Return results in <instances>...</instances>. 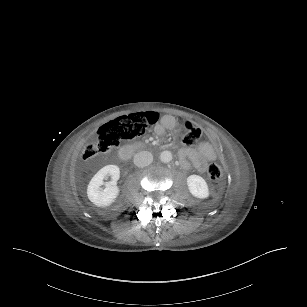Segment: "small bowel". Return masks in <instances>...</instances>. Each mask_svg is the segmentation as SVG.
<instances>
[{
    "mask_svg": "<svg viewBox=\"0 0 307 307\" xmlns=\"http://www.w3.org/2000/svg\"><path fill=\"white\" fill-rule=\"evenodd\" d=\"M167 126L173 131L174 137H178V130L174 121H169ZM182 165L188 169L194 166L198 171L204 172L208 167V163L215 161L218 157L217 150L209 142H201L195 148H183L180 150Z\"/></svg>",
    "mask_w": 307,
    "mask_h": 307,
    "instance_id": "small-bowel-1",
    "label": "small bowel"
}]
</instances>
